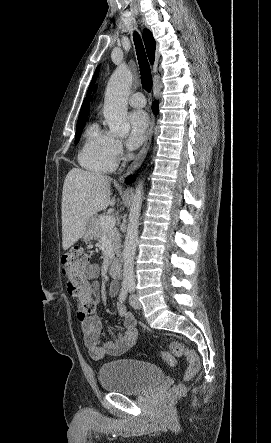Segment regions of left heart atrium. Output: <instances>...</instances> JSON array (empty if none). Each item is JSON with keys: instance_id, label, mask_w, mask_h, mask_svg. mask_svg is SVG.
Returning <instances> with one entry per match:
<instances>
[{"instance_id": "39dd6f15", "label": "left heart atrium", "mask_w": 271, "mask_h": 443, "mask_svg": "<svg viewBox=\"0 0 271 443\" xmlns=\"http://www.w3.org/2000/svg\"><path fill=\"white\" fill-rule=\"evenodd\" d=\"M131 132L129 136V146L132 148L140 146L146 139L149 132V118L143 110H135L128 116Z\"/></svg>"}]
</instances>
